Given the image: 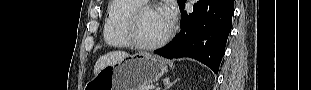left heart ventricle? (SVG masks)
Returning a JSON list of instances; mask_svg holds the SVG:
<instances>
[{
    "label": "left heart ventricle",
    "mask_w": 311,
    "mask_h": 90,
    "mask_svg": "<svg viewBox=\"0 0 311 90\" xmlns=\"http://www.w3.org/2000/svg\"><path fill=\"white\" fill-rule=\"evenodd\" d=\"M170 25L165 20L162 11H146L139 24V35L142 41L153 43L162 38L169 30Z\"/></svg>",
    "instance_id": "1"
}]
</instances>
